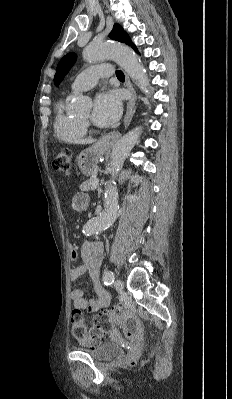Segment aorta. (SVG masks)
Segmentation results:
<instances>
[{
	"instance_id": "1",
	"label": "aorta",
	"mask_w": 232,
	"mask_h": 399,
	"mask_svg": "<svg viewBox=\"0 0 232 399\" xmlns=\"http://www.w3.org/2000/svg\"><path fill=\"white\" fill-rule=\"evenodd\" d=\"M82 56L88 63L97 62L107 58L115 60L144 93H149V80L146 76V70L141 64L140 58L130 47L120 43L97 41L89 44L83 50ZM71 102L73 107L78 110L85 108L88 104V100L82 95L73 96ZM141 133L142 129L136 127L126 133L114 145L108 168L111 179L106 183L104 210L84 225L83 233L85 235L90 236L102 232L109 228L115 221L119 206L118 192L114 180L120 172L130 151L137 143Z\"/></svg>"
}]
</instances>
